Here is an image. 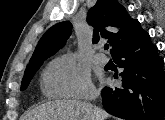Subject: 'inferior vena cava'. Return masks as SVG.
I'll list each match as a JSON object with an SVG mask.
<instances>
[{"label":"inferior vena cava","mask_w":165,"mask_h":120,"mask_svg":"<svg viewBox=\"0 0 165 120\" xmlns=\"http://www.w3.org/2000/svg\"><path fill=\"white\" fill-rule=\"evenodd\" d=\"M97 96H98V93H92V94H91V99H96Z\"/></svg>","instance_id":"obj_1"}]
</instances>
